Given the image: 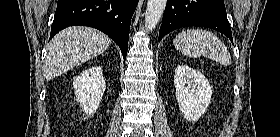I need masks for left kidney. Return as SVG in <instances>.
I'll use <instances>...</instances> for the list:
<instances>
[{
    "instance_id": "5707ae66",
    "label": "left kidney",
    "mask_w": 280,
    "mask_h": 137,
    "mask_svg": "<svg viewBox=\"0 0 280 137\" xmlns=\"http://www.w3.org/2000/svg\"><path fill=\"white\" fill-rule=\"evenodd\" d=\"M176 99L186 120L195 122L211 103L212 90L209 81L199 71L187 65L175 69Z\"/></svg>"
}]
</instances>
